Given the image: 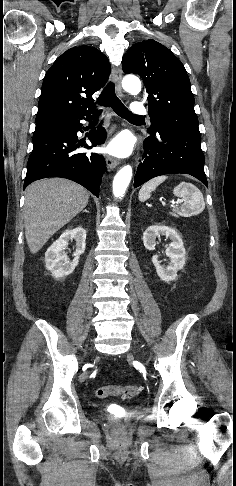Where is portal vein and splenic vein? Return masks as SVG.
<instances>
[{"instance_id": "portal-vein-and-splenic-vein-1", "label": "portal vein and splenic vein", "mask_w": 236, "mask_h": 486, "mask_svg": "<svg viewBox=\"0 0 236 486\" xmlns=\"http://www.w3.org/2000/svg\"><path fill=\"white\" fill-rule=\"evenodd\" d=\"M181 202H182L181 200L177 201V203H179V204H180Z\"/></svg>"}]
</instances>
